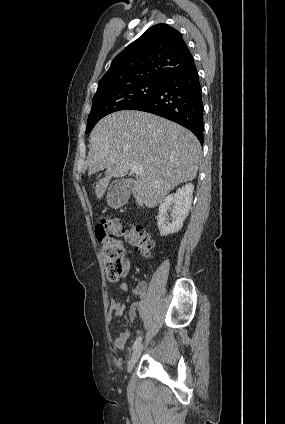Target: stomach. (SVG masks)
I'll return each mask as SVG.
<instances>
[{
	"label": "stomach",
	"instance_id": "0dacf381",
	"mask_svg": "<svg viewBox=\"0 0 285 424\" xmlns=\"http://www.w3.org/2000/svg\"><path fill=\"white\" fill-rule=\"evenodd\" d=\"M108 203H109L110 205H112V206H115V205H116V202H115V201H113V200H109V201H108Z\"/></svg>",
	"mask_w": 285,
	"mask_h": 424
}]
</instances>
